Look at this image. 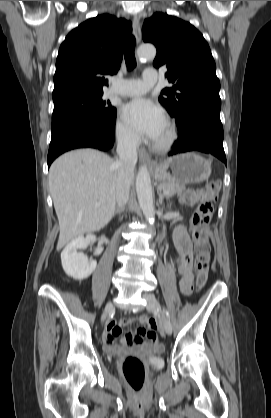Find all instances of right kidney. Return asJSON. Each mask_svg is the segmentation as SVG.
<instances>
[{
    "label": "right kidney",
    "instance_id": "obj_1",
    "mask_svg": "<svg viewBox=\"0 0 271 418\" xmlns=\"http://www.w3.org/2000/svg\"><path fill=\"white\" fill-rule=\"evenodd\" d=\"M96 239L95 235L88 234L86 237L80 236L72 240L61 253L62 267L65 273L76 279L83 280L88 278L96 268V261L89 260L86 255L79 252L88 246L91 241Z\"/></svg>",
    "mask_w": 271,
    "mask_h": 418
}]
</instances>
